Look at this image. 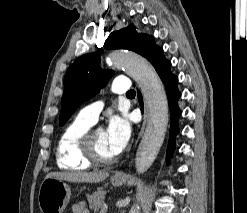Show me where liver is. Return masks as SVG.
<instances>
[{
    "mask_svg": "<svg viewBox=\"0 0 247 213\" xmlns=\"http://www.w3.org/2000/svg\"><path fill=\"white\" fill-rule=\"evenodd\" d=\"M109 176L108 172H51L46 178L52 177L62 181L74 183H98L105 180Z\"/></svg>",
    "mask_w": 247,
    "mask_h": 213,
    "instance_id": "6515ba94",
    "label": "liver"
}]
</instances>
